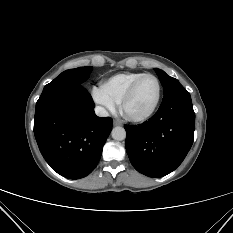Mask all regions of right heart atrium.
<instances>
[{
    "label": "right heart atrium",
    "instance_id": "right-heart-atrium-1",
    "mask_svg": "<svg viewBox=\"0 0 233 233\" xmlns=\"http://www.w3.org/2000/svg\"><path fill=\"white\" fill-rule=\"evenodd\" d=\"M91 97L104 113L114 112L119 103L105 84L94 85L91 89Z\"/></svg>",
    "mask_w": 233,
    "mask_h": 233
}]
</instances>
